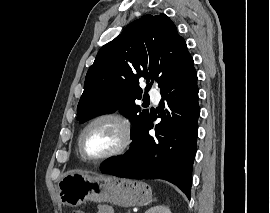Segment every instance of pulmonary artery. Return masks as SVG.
<instances>
[{"label": "pulmonary artery", "mask_w": 270, "mask_h": 213, "mask_svg": "<svg viewBox=\"0 0 270 213\" xmlns=\"http://www.w3.org/2000/svg\"><path fill=\"white\" fill-rule=\"evenodd\" d=\"M150 96L152 98V100L157 103L160 99V94L157 90H155L154 88H151L150 90Z\"/></svg>", "instance_id": "e3ab8cb5"}]
</instances>
